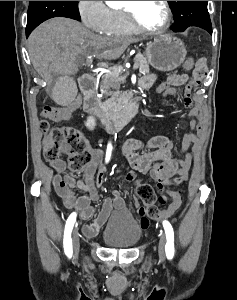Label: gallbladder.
<instances>
[{
	"label": "gallbladder",
	"instance_id": "1",
	"mask_svg": "<svg viewBox=\"0 0 237 300\" xmlns=\"http://www.w3.org/2000/svg\"><path fill=\"white\" fill-rule=\"evenodd\" d=\"M56 87H51V97L55 105H71L76 94L74 76H59Z\"/></svg>",
	"mask_w": 237,
	"mask_h": 300
}]
</instances>
